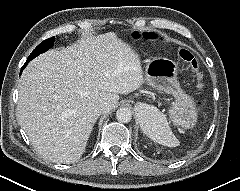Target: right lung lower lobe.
<instances>
[{
  "label": "right lung lower lobe",
  "instance_id": "right-lung-lower-lobe-1",
  "mask_svg": "<svg viewBox=\"0 0 240 191\" xmlns=\"http://www.w3.org/2000/svg\"><path fill=\"white\" fill-rule=\"evenodd\" d=\"M27 64H28V61L23 65V67H22V69H21V72H22V70L26 67ZM21 72H20V74H21Z\"/></svg>",
  "mask_w": 240,
  "mask_h": 191
}]
</instances>
